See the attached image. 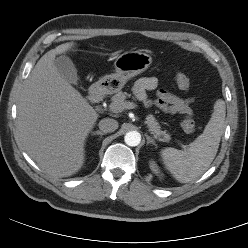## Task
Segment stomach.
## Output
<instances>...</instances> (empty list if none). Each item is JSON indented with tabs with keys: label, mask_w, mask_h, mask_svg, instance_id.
Masks as SVG:
<instances>
[{
	"label": "stomach",
	"mask_w": 248,
	"mask_h": 248,
	"mask_svg": "<svg viewBox=\"0 0 248 248\" xmlns=\"http://www.w3.org/2000/svg\"><path fill=\"white\" fill-rule=\"evenodd\" d=\"M152 63V57L141 51H127L115 59V73L104 76L98 81L103 91L119 92L126 82L147 70Z\"/></svg>",
	"instance_id": "obj_1"
}]
</instances>
